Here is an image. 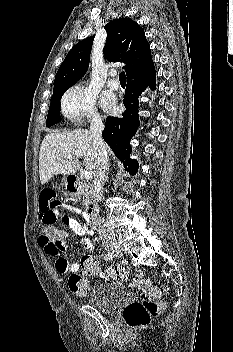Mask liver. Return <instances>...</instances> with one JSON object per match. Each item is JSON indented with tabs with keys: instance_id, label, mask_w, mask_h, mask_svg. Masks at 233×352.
Masks as SVG:
<instances>
[{
	"instance_id": "1",
	"label": "liver",
	"mask_w": 233,
	"mask_h": 352,
	"mask_svg": "<svg viewBox=\"0 0 233 352\" xmlns=\"http://www.w3.org/2000/svg\"><path fill=\"white\" fill-rule=\"evenodd\" d=\"M68 156L74 159L84 158L85 170L91 172L92 176L95 175L98 151L90 131L76 129L45 136L39 153L41 184L48 182L54 175L76 173L77 162L67 159Z\"/></svg>"
}]
</instances>
